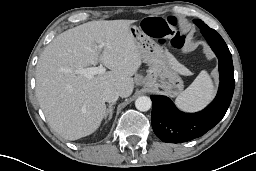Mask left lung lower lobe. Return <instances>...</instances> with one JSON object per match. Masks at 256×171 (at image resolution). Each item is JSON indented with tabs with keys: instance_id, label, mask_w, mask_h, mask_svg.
Masks as SVG:
<instances>
[{
	"instance_id": "1",
	"label": "left lung lower lobe",
	"mask_w": 256,
	"mask_h": 171,
	"mask_svg": "<svg viewBox=\"0 0 256 171\" xmlns=\"http://www.w3.org/2000/svg\"><path fill=\"white\" fill-rule=\"evenodd\" d=\"M219 60L220 84L216 98L204 110L183 113L165 96L152 95V127L162 141L181 143L204 135L224 117L235 87L231 53L214 29L198 25Z\"/></svg>"
}]
</instances>
